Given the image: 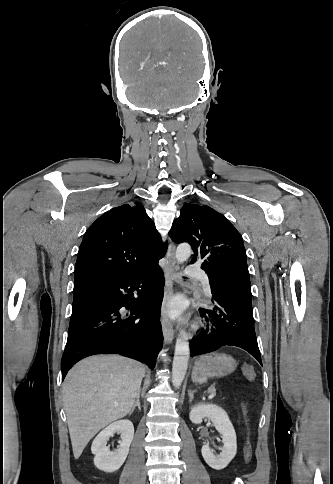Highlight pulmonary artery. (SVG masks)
Listing matches in <instances>:
<instances>
[{
    "label": "pulmonary artery",
    "instance_id": "obj_1",
    "mask_svg": "<svg viewBox=\"0 0 333 484\" xmlns=\"http://www.w3.org/2000/svg\"><path fill=\"white\" fill-rule=\"evenodd\" d=\"M187 274H189L191 276H194L196 278H199V280L201 281V283H202V285H203L204 290L206 291V293L208 295L211 294V291H210V280H209L208 276L203 271H201L197 267L190 266V267H188Z\"/></svg>",
    "mask_w": 333,
    "mask_h": 484
}]
</instances>
